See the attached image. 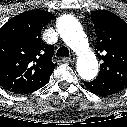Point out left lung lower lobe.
I'll list each match as a JSON object with an SVG mask.
<instances>
[{
  "label": "left lung lower lobe",
  "mask_w": 127,
  "mask_h": 127,
  "mask_svg": "<svg viewBox=\"0 0 127 127\" xmlns=\"http://www.w3.org/2000/svg\"><path fill=\"white\" fill-rule=\"evenodd\" d=\"M83 83L91 92L99 96L112 95L125 88L123 85L113 80L100 76H97V78L91 82Z\"/></svg>",
  "instance_id": "left-lung-lower-lobe-1"
}]
</instances>
